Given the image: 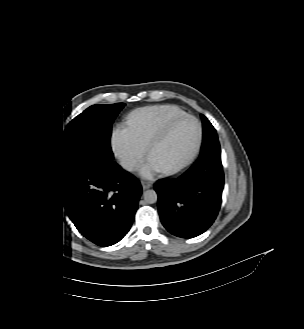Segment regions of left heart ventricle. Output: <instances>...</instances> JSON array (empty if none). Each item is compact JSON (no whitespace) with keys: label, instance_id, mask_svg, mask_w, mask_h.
<instances>
[{"label":"left heart ventricle","instance_id":"1","mask_svg":"<svg viewBox=\"0 0 304 329\" xmlns=\"http://www.w3.org/2000/svg\"><path fill=\"white\" fill-rule=\"evenodd\" d=\"M197 138V123L192 119L180 121L169 136L152 150L149 163L157 170L181 163L193 150Z\"/></svg>","mask_w":304,"mask_h":329}]
</instances>
